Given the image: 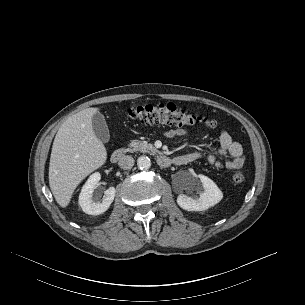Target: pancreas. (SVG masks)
Masks as SVG:
<instances>
[{
  "instance_id": "obj_1",
  "label": "pancreas",
  "mask_w": 305,
  "mask_h": 305,
  "mask_svg": "<svg viewBox=\"0 0 305 305\" xmlns=\"http://www.w3.org/2000/svg\"><path fill=\"white\" fill-rule=\"evenodd\" d=\"M125 152H148L151 154H155L157 152L156 148L152 146V144L139 141V140H132L131 143L129 144V148L124 149Z\"/></svg>"
}]
</instances>
